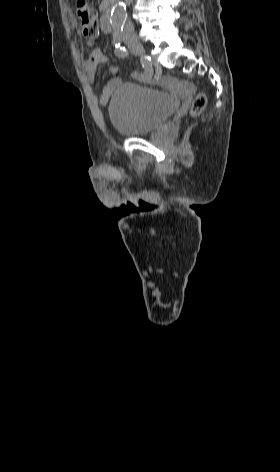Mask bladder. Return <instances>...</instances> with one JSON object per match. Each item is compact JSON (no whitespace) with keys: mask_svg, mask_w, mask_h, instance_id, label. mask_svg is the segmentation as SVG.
Here are the masks:
<instances>
[{"mask_svg":"<svg viewBox=\"0 0 280 472\" xmlns=\"http://www.w3.org/2000/svg\"><path fill=\"white\" fill-rule=\"evenodd\" d=\"M177 106V100L162 90L125 82L117 87L111 97L109 117L119 133L139 136L160 127Z\"/></svg>","mask_w":280,"mask_h":472,"instance_id":"1","label":"bladder"}]
</instances>
